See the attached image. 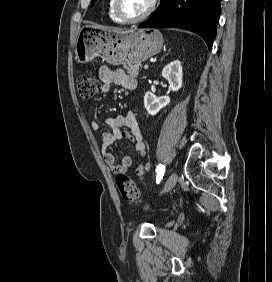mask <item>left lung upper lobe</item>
<instances>
[{
	"instance_id": "1",
	"label": "left lung upper lobe",
	"mask_w": 272,
	"mask_h": 282,
	"mask_svg": "<svg viewBox=\"0 0 272 282\" xmlns=\"http://www.w3.org/2000/svg\"><path fill=\"white\" fill-rule=\"evenodd\" d=\"M96 0H91V3H94Z\"/></svg>"
}]
</instances>
